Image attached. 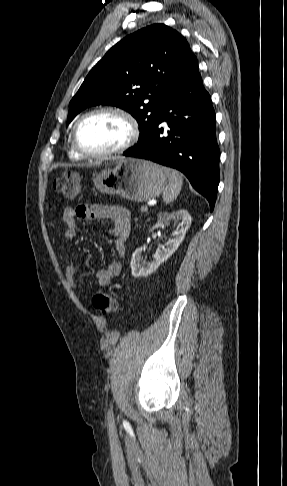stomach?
<instances>
[{
    "mask_svg": "<svg viewBox=\"0 0 287 486\" xmlns=\"http://www.w3.org/2000/svg\"><path fill=\"white\" fill-rule=\"evenodd\" d=\"M96 189L133 201H147L164 190L167 175L163 167L137 158H114L93 180Z\"/></svg>",
    "mask_w": 287,
    "mask_h": 486,
    "instance_id": "1",
    "label": "stomach"
}]
</instances>
